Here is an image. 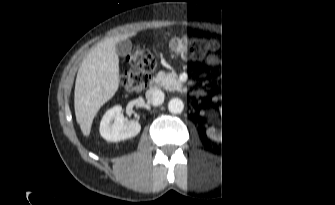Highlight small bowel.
I'll return each mask as SVG.
<instances>
[{"mask_svg": "<svg viewBox=\"0 0 335 205\" xmlns=\"http://www.w3.org/2000/svg\"><path fill=\"white\" fill-rule=\"evenodd\" d=\"M245 51V50H244ZM246 52V51H245ZM235 55V48L232 45H228L225 49V52L221 56H216L212 59V62L215 64H224L230 61ZM255 62L256 60L253 59ZM267 79L263 72H260L256 77L251 78L247 81L248 86L265 84Z\"/></svg>", "mask_w": 335, "mask_h": 205, "instance_id": "1", "label": "small bowel"}]
</instances>
